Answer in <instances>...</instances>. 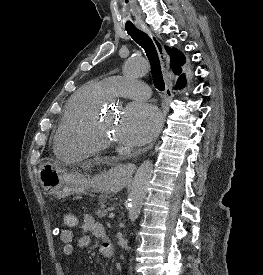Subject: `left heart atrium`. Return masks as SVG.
<instances>
[{
  "instance_id": "left-heart-atrium-1",
  "label": "left heart atrium",
  "mask_w": 263,
  "mask_h": 275,
  "mask_svg": "<svg viewBox=\"0 0 263 275\" xmlns=\"http://www.w3.org/2000/svg\"><path fill=\"white\" fill-rule=\"evenodd\" d=\"M161 124L162 116L155 105L135 101L125 108L117 126V135L128 145H142L158 133Z\"/></svg>"
}]
</instances>
